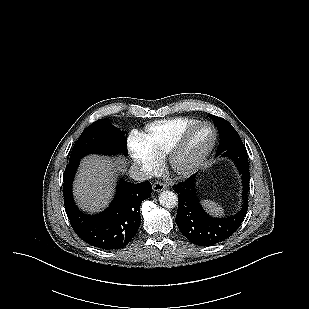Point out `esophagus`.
Returning <instances> with one entry per match:
<instances>
[{"instance_id": "obj_1", "label": "esophagus", "mask_w": 309, "mask_h": 309, "mask_svg": "<svg viewBox=\"0 0 309 309\" xmlns=\"http://www.w3.org/2000/svg\"><path fill=\"white\" fill-rule=\"evenodd\" d=\"M166 188H167V185L162 183V182H155L153 184V191L154 192H161V191H163Z\"/></svg>"}]
</instances>
